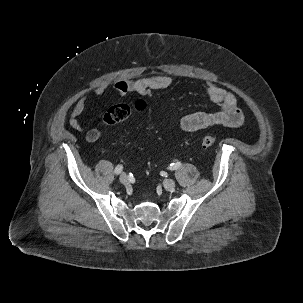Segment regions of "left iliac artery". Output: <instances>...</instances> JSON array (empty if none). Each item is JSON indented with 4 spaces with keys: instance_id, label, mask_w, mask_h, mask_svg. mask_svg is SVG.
<instances>
[{
    "instance_id": "44dca946",
    "label": "left iliac artery",
    "mask_w": 303,
    "mask_h": 303,
    "mask_svg": "<svg viewBox=\"0 0 303 303\" xmlns=\"http://www.w3.org/2000/svg\"><path fill=\"white\" fill-rule=\"evenodd\" d=\"M181 165H182L181 162L171 163V164L169 165V169H170V170H176V169L180 168Z\"/></svg>"
}]
</instances>
